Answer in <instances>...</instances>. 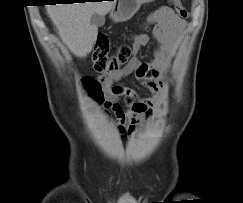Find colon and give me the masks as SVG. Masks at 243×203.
Wrapping results in <instances>:
<instances>
[{
	"label": "colon",
	"mask_w": 243,
	"mask_h": 203,
	"mask_svg": "<svg viewBox=\"0 0 243 203\" xmlns=\"http://www.w3.org/2000/svg\"><path fill=\"white\" fill-rule=\"evenodd\" d=\"M168 1L180 18L185 19L188 17V11L180 0ZM130 57L131 47L128 44H122L114 53H110L109 38L101 34L98 36L93 50V67L97 72L117 73L127 66ZM82 85L94 102L100 103L103 101L104 87L99 80L87 76L82 79Z\"/></svg>",
	"instance_id": "colon-1"
}]
</instances>
